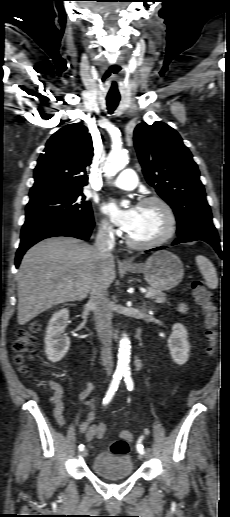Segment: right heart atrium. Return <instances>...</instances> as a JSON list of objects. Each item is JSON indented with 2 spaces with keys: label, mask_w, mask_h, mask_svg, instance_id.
<instances>
[{
  "label": "right heart atrium",
  "mask_w": 230,
  "mask_h": 517,
  "mask_svg": "<svg viewBox=\"0 0 230 517\" xmlns=\"http://www.w3.org/2000/svg\"><path fill=\"white\" fill-rule=\"evenodd\" d=\"M99 230L104 237L108 238L117 234V230L106 219L101 220Z\"/></svg>",
  "instance_id": "1"
}]
</instances>
